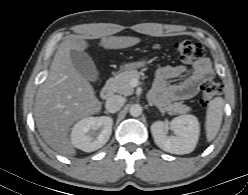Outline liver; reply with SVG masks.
<instances>
[{"label": "liver", "mask_w": 248, "mask_h": 195, "mask_svg": "<svg viewBox=\"0 0 248 195\" xmlns=\"http://www.w3.org/2000/svg\"><path fill=\"white\" fill-rule=\"evenodd\" d=\"M138 37H102L105 49H122L138 44ZM88 43L81 35H70L58 47L50 65L47 79L40 85L34 105V117L44 141L62 155L76 153L70 139L71 126L81 118L100 111L91 84L74 68L70 51H84Z\"/></svg>", "instance_id": "6515ba94"}]
</instances>
